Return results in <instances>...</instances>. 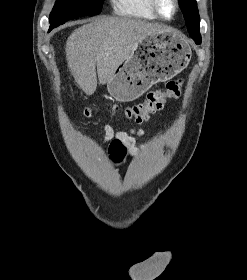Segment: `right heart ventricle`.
<instances>
[{
  "label": "right heart ventricle",
  "mask_w": 247,
  "mask_h": 280,
  "mask_svg": "<svg viewBox=\"0 0 247 280\" xmlns=\"http://www.w3.org/2000/svg\"><path fill=\"white\" fill-rule=\"evenodd\" d=\"M116 14L144 20H156L159 17L152 8L151 0H112Z\"/></svg>",
  "instance_id": "1"
}]
</instances>
